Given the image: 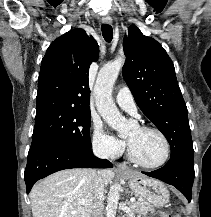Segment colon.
<instances>
[{"instance_id": "5ec220e1", "label": "colon", "mask_w": 211, "mask_h": 217, "mask_svg": "<svg viewBox=\"0 0 211 217\" xmlns=\"http://www.w3.org/2000/svg\"><path fill=\"white\" fill-rule=\"evenodd\" d=\"M160 217H178V216L177 215H170L167 213H162V214H160Z\"/></svg>"}]
</instances>
